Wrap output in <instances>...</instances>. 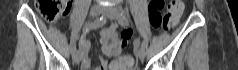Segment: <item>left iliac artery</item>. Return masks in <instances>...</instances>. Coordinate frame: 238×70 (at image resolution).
Returning a JSON list of instances; mask_svg holds the SVG:
<instances>
[{"label": "left iliac artery", "instance_id": "1", "mask_svg": "<svg viewBox=\"0 0 238 70\" xmlns=\"http://www.w3.org/2000/svg\"><path fill=\"white\" fill-rule=\"evenodd\" d=\"M121 13H120V17H119V23L123 26H129L130 22L129 20L126 18V16L124 15L123 11L120 9ZM149 45L148 41H142L141 43V48L142 50H147V46Z\"/></svg>", "mask_w": 238, "mask_h": 70}]
</instances>
